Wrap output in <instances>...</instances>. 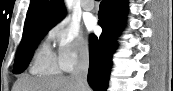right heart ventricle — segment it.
Listing matches in <instances>:
<instances>
[{
  "label": "right heart ventricle",
  "instance_id": "obj_1",
  "mask_svg": "<svg viewBox=\"0 0 173 91\" xmlns=\"http://www.w3.org/2000/svg\"><path fill=\"white\" fill-rule=\"evenodd\" d=\"M61 70L57 57L47 45H42L33 58L31 72L37 75H56L61 73Z\"/></svg>",
  "mask_w": 173,
  "mask_h": 91
}]
</instances>
